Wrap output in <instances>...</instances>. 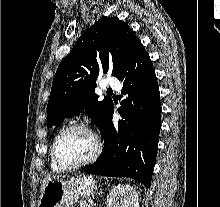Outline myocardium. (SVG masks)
I'll use <instances>...</instances> for the list:
<instances>
[{
	"instance_id": "f54148a6",
	"label": "myocardium",
	"mask_w": 220,
	"mask_h": 207,
	"mask_svg": "<svg viewBox=\"0 0 220 207\" xmlns=\"http://www.w3.org/2000/svg\"><path fill=\"white\" fill-rule=\"evenodd\" d=\"M72 130H80L86 132L88 135L91 136V138L94 141V150L92 154L85 160L74 163V164H63L57 155V144L60 138L67 132L72 131ZM103 145L101 142V139L97 135L95 131H93L91 128H89L87 125L80 124V123H75L68 125L64 127L55 137L52 147H51V155L54 163L61 169V170H72V169H77L83 166H86L92 162H94L100 155L102 151Z\"/></svg>"
}]
</instances>
